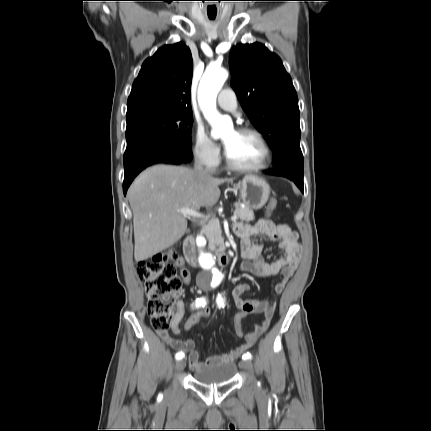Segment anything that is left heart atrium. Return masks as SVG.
Returning a JSON list of instances; mask_svg holds the SVG:
<instances>
[{
    "instance_id": "left-heart-atrium-1",
    "label": "left heart atrium",
    "mask_w": 431,
    "mask_h": 431,
    "mask_svg": "<svg viewBox=\"0 0 431 431\" xmlns=\"http://www.w3.org/2000/svg\"><path fill=\"white\" fill-rule=\"evenodd\" d=\"M225 147L227 148V144L225 143Z\"/></svg>"
}]
</instances>
